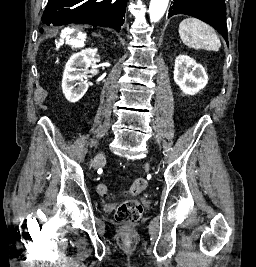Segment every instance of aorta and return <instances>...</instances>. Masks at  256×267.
Returning a JSON list of instances; mask_svg holds the SVG:
<instances>
[{
  "label": "aorta",
  "mask_w": 256,
  "mask_h": 267,
  "mask_svg": "<svg viewBox=\"0 0 256 267\" xmlns=\"http://www.w3.org/2000/svg\"><path fill=\"white\" fill-rule=\"evenodd\" d=\"M169 0H151L149 6V18L150 22H159L163 18L167 8Z\"/></svg>",
  "instance_id": "1"
}]
</instances>
